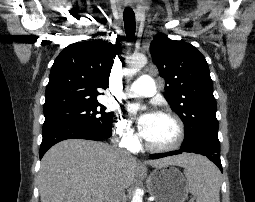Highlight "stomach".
I'll use <instances>...</instances> for the list:
<instances>
[{
	"label": "stomach",
	"instance_id": "obj_1",
	"mask_svg": "<svg viewBox=\"0 0 255 202\" xmlns=\"http://www.w3.org/2000/svg\"><path fill=\"white\" fill-rule=\"evenodd\" d=\"M147 189L157 202H184L189 186L183 174L173 166H161L150 174Z\"/></svg>",
	"mask_w": 255,
	"mask_h": 202
}]
</instances>
